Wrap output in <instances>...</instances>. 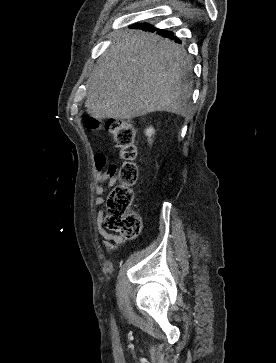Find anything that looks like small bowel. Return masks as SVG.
<instances>
[{
    "instance_id": "obj_1",
    "label": "small bowel",
    "mask_w": 276,
    "mask_h": 363,
    "mask_svg": "<svg viewBox=\"0 0 276 363\" xmlns=\"http://www.w3.org/2000/svg\"><path fill=\"white\" fill-rule=\"evenodd\" d=\"M106 166V156L103 153H97L94 158V167H95V179L98 184L94 187V193L97 197L94 199V205L97 207H102L104 204V199L101 197L102 194L106 192L108 188L113 186L117 179L112 176L113 171L117 168L116 165H111L108 171H104ZM103 218V211H99L96 224L97 230L99 234L102 236V244L108 250H116L118 249L119 245L124 243L125 240L123 237L119 235H115L106 231L101 222Z\"/></svg>"
}]
</instances>
